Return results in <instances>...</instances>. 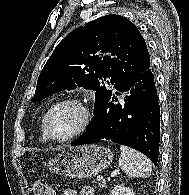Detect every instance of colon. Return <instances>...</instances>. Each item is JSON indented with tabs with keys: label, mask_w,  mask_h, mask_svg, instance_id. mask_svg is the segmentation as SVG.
I'll list each match as a JSON object with an SVG mask.
<instances>
[{
	"label": "colon",
	"mask_w": 189,
	"mask_h": 195,
	"mask_svg": "<svg viewBox=\"0 0 189 195\" xmlns=\"http://www.w3.org/2000/svg\"><path fill=\"white\" fill-rule=\"evenodd\" d=\"M33 195H54V191L43 180H37L33 184Z\"/></svg>",
	"instance_id": "5ec220e1"
}]
</instances>
